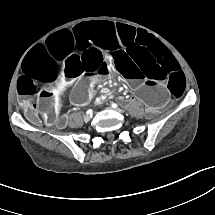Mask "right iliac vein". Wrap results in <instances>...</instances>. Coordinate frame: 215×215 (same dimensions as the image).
I'll list each match as a JSON object with an SVG mask.
<instances>
[{"instance_id": "1", "label": "right iliac vein", "mask_w": 215, "mask_h": 215, "mask_svg": "<svg viewBox=\"0 0 215 215\" xmlns=\"http://www.w3.org/2000/svg\"><path fill=\"white\" fill-rule=\"evenodd\" d=\"M90 120V116L89 115H86V116H84V121H89Z\"/></svg>"}]
</instances>
